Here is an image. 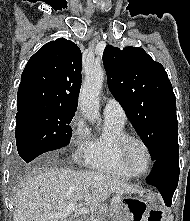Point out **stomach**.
Here are the masks:
<instances>
[{
	"label": "stomach",
	"mask_w": 190,
	"mask_h": 221,
	"mask_svg": "<svg viewBox=\"0 0 190 221\" xmlns=\"http://www.w3.org/2000/svg\"><path fill=\"white\" fill-rule=\"evenodd\" d=\"M118 205H120V209H123V216L121 213H110L107 206L102 205L98 209L103 213L102 221H164V218L148 217H167V212H162L161 204H156V200H153L152 196L142 195L139 200H118Z\"/></svg>",
	"instance_id": "obj_1"
}]
</instances>
